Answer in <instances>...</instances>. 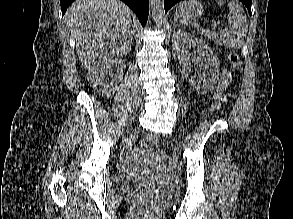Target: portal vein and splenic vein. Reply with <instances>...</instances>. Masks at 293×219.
<instances>
[{"instance_id":"18ae733b","label":"portal vein and splenic vein","mask_w":293,"mask_h":219,"mask_svg":"<svg viewBox=\"0 0 293 219\" xmlns=\"http://www.w3.org/2000/svg\"><path fill=\"white\" fill-rule=\"evenodd\" d=\"M218 24H219V22H217V23L216 22H213L212 25H211L212 26V29H215Z\"/></svg>"}]
</instances>
